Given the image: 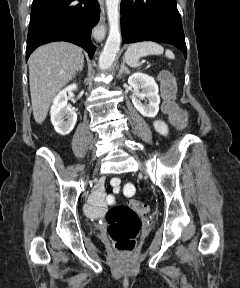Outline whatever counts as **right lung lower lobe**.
<instances>
[{"mask_svg": "<svg viewBox=\"0 0 240 288\" xmlns=\"http://www.w3.org/2000/svg\"><path fill=\"white\" fill-rule=\"evenodd\" d=\"M97 0H33L26 60L40 45L68 41L82 47L92 59L96 47L91 31L99 20Z\"/></svg>", "mask_w": 240, "mask_h": 288, "instance_id": "obj_1", "label": "right lung lower lobe"}]
</instances>
